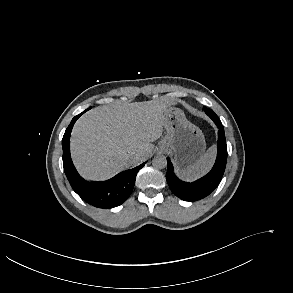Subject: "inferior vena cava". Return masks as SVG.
<instances>
[{
  "instance_id": "602c4592",
  "label": "inferior vena cava",
  "mask_w": 293,
  "mask_h": 293,
  "mask_svg": "<svg viewBox=\"0 0 293 293\" xmlns=\"http://www.w3.org/2000/svg\"><path fill=\"white\" fill-rule=\"evenodd\" d=\"M134 159H135V160H138V159H139V156H138V155H135V156H134Z\"/></svg>"
}]
</instances>
